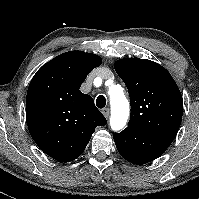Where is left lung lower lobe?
<instances>
[{
	"label": "left lung lower lobe",
	"mask_w": 199,
	"mask_h": 199,
	"mask_svg": "<svg viewBox=\"0 0 199 199\" xmlns=\"http://www.w3.org/2000/svg\"><path fill=\"white\" fill-rule=\"evenodd\" d=\"M113 138L121 156L134 164H144L158 158L171 144L132 127L114 133Z\"/></svg>",
	"instance_id": "obj_1"
}]
</instances>
